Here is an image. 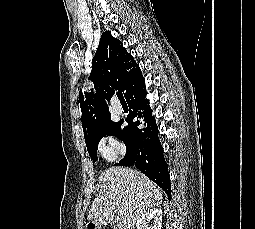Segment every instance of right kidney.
Listing matches in <instances>:
<instances>
[{
    "instance_id": "obj_1",
    "label": "right kidney",
    "mask_w": 255,
    "mask_h": 229,
    "mask_svg": "<svg viewBox=\"0 0 255 229\" xmlns=\"http://www.w3.org/2000/svg\"><path fill=\"white\" fill-rule=\"evenodd\" d=\"M151 220H153V224L148 228L147 224ZM161 226L162 210L160 208L148 209L136 223L137 229H161Z\"/></svg>"
}]
</instances>
